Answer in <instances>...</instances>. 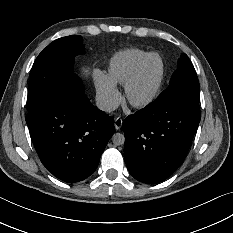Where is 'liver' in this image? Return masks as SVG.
Masks as SVG:
<instances>
[{"label": "liver", "instance_id": "6515ba94", "mask_svg": "<svg viewBox=\"0 0 233 233\" xmlns=\"http://www.w3.org/2000/svg\"><path fill=\"white\" fill-rule=\"evenodd\" d=\"M76 75L81 79H87L89 77L87 66L84 64H80L76 71Z\"/></svg>", "mask_w": 233, "mask_h": 233}]
</instances>
